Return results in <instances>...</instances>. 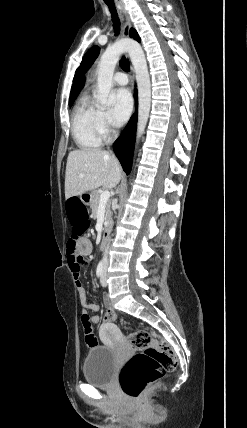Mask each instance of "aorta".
Here are the masks:
<instances>
[{"label":"aorta","instance_id":"762f6f07","mask_svg":"<svg viewBox=\"0 0 247 428\" xmlns=\"http://www.w3.org/2000/svg\"><path fill=\"white\" fill-rule=\"evenodd\" d=\"M124 50L119 45H114L103 53L97 67V102L105 107L110 105L113 98L110 95L112 78L115 66ZM132 65L135 70L138 86V124L137 139L144 133L151 106V83L147 68V62L143 50L137 46L127 48Z\"/></svg>","mask_w":247,"mask_h":428}]
</instances>
